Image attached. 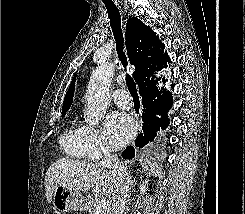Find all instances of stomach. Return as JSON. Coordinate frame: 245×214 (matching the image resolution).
<instances>
[{"instance_id": "obj_1", "label": "stomach", "mask_w": 245, "mask_h": 214, "mask_svg": "<svg viewBox=\"0 0 245 214\" xmlns=\"http://www.w3.org/2000/svg\"><path fill=\"white\" fill-rule=\"evenodd\" d=\"M53 207L60 212L71 210H86L90 206L91 199L80 191L58 186L53 195Z\"/></svg>"}]
</instances>
